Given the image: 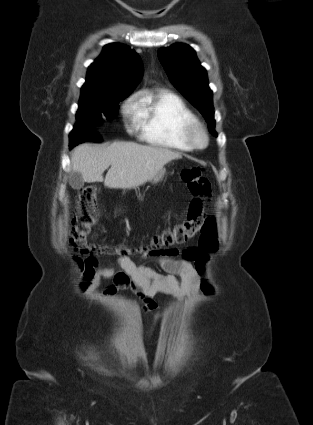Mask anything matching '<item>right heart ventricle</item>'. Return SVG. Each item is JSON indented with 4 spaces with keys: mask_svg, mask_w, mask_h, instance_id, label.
<instances>
[{
    "mask_svg": "<svg viewBox=\"0 0 313 425\" xmlns=\"http://www.w3.org/2000/svg\"><path fill=\"white\" fill-rule=\"evenodd\" d=\"M197 118L184 101L168 91L142 93L136 101L135 124L145 142L177 151L193 147L184 137L186 126Z\"/></svg>",
    "mask_w": 313,
    "mask_h": 425,
    "instance_id": "1",
    "label": "right heart ventricle"
}]
</instances>
